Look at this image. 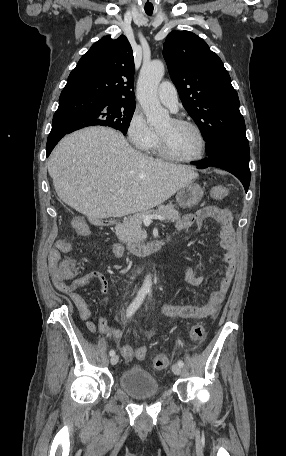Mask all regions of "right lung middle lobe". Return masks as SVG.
Wrapping results in <instances>:
<instances>
[{"label": "right lung middle lobe", "mask_w": 286, "mask_h": 456, "mask_svg": "<svg viewBox=\"0 0 286 456\" xmlns=\"http://www.w3.org/2000/svg\"><path fill=\"white\" fill-rule=\"evenodd\" d=\"M135 110V104L111 102L107 99L86 95L77 108V121L74 130L83 127L102 125L127 133Z\"/></svg>", "instance_id": "1"}]
</instances>
